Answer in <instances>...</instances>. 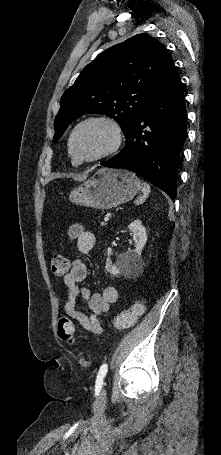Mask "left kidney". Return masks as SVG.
<instances>
[{
	"label": "left kidney",
	"instance_id": "obj_1",
	"mask_svg": "<svg viewBox=\"0 0 221 455\" xmlns=\"http://www.w3.org/2000/svg\"><path fill=\"white\" fill-rule=\"evenodd\" d=\"M128 228L133 233L135 249L121 254L116 264H112L110 259L111 249H108L105 269L113 275L131 272L138 267L141 261V253L147 242L146 229L140 220H134Z\"/></svg>",
	"mask_w": 221,
	"mask_h": 455
}]
</instances>
